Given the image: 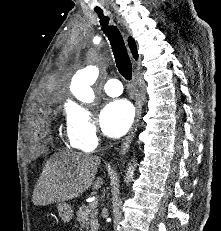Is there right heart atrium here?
I'll list each match as a JSON object with an SVG mask.
<instances>
[{"label":"right heart atrium","mask_w":221,"mask_h":231,"mask_svg":"<svg viewBox=\"0 0 221 231\" xmlns=\"http://www.w3.org/2000/svg\"><path fill=\"white\" fill-rule=\"evenodd\" d=\"M67 132L70 141L85 151L99 145V134L92 110L83 104H72L67 114Z\"/></svg>","instance_id":"d8ad5b80"}]
</instances>
